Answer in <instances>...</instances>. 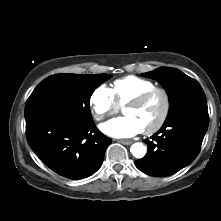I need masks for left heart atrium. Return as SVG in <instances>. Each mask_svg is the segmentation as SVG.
I'll use <instances>...</instances> for the list:
<instances>
[{"mask_svg":"<svg viewBox=\"0 0 221 221\" xmlns=\"http://www.w3.org/2000/svg\"><path fill=\"white\" fill-rule=\"evenodd\" d=\"M100 130L114 138H129L141 132L142 128L135 118L125 115L101 124Z\"/></svg>","mask_w":221,"mask_h":221,"instance_id":"1","label":"left heart atrium"}]
</instances>
